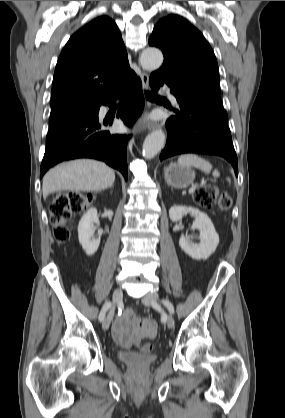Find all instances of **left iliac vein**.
Wrapping results in <instances>:
<instances>
[{
  "label": "left iliac vein",
  "instance_id": "left-iliac-vein-1",
  "mask_svg": "<svg viewBox=\"0 0 285 418\" xmlns=\"http://www.w3.org/2000/svg\"><path fill=\"white\" fill-rule=\"evenodd\" d=\"M158 299H159L158 294L155 293V292H151V293L147 294L142 299V302H143V304H145L147 306H152V307L156 308V307H160ZM166 324H167L168 328H173L174 327L175 322H174V319L171 315L167 316Z\"/></svg>",
  "mask_w": 285,
  "mask_h": 418
}]
</instances>
